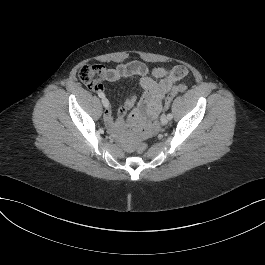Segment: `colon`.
<instances>
[{
  "label": "colon",
  "instance_id": "colon-1",
  "mask_svg": "<svg viewBox=\"0 0 265 265\" xmlns=\"http://www.w3.org/2000/svg\"><path fill=\"white\" fill-rule=\"evenodd\" d=\"M102 77V68L100 65H84L79 70V78L82 82L88 86L96 84V81ZM185 90L184 85L175 86L171 92L166 96L164 100L163 109L166 110L170 107V104L175 96ZM136 151L138 153H144L147 149V145L143 142H139L136 145Z\"/></svg>",
  "mask_w": 265,
  "mask_h": 265
}]
</instances>
